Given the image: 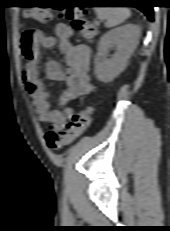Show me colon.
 <instances>
[{
	"label": "colon",
	"mask_w": 170,
	"mask_h": 231,
	"mask_svg": "<svg viewBox=\"0 0 170 231\" xmlns=\"http://www.w3.org/2000/svg\"><path fill=\"white\" fill-rule=\"evenodd\" d=\"M25 14L28 18L41 23H46L53 17L50 11L42 8L29 9ZM85 15V10L74 7L63 10L59 16L69 20L75 31H77L85 40L91 41L97 34V27L95 22L87 19ZM93 110L92 106H88L73 115L63 131L47 132L45 136L47 145L52 150L59 151L73 143L91 126L93 121Z\"/></svg>",
	"instance_id": "5ec220e1"
}]
</instances>
